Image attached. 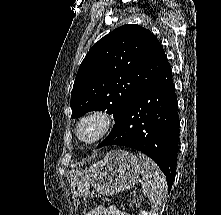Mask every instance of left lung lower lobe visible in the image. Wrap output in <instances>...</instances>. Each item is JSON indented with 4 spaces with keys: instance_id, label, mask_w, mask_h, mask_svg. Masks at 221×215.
Here are the masks:
<instances>
[{
    "instance_id": "0a47b994",
    "label": "left lung lower lobe",
    "mask_w": 221,
    "mask_h": 215,
    "mask_svg": "<svg viewBox=\"0 0 221 215\" xmlns=\"http://www.w3.org/2000/svg\"><path fill=\"white\" fill-rule=\"evenodd\" d=\"M178 135L177 100L168 64L134 98L97 148L121 145L143 152L166 175L170 191L176 173Z\"/></svg>"
}]
</instances>
